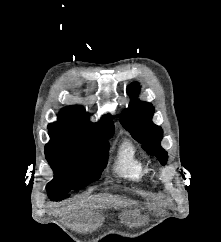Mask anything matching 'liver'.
<instances>
[{
    "label": "liver",
    "mask_w": 221,
    "mask_h": 242,
    "mask_svg": "<svg viewBox=\"0 0 221 242\" xmlns=\"http://www.w3.org/2000/svg\"><path fill=\"white\" fill-rule=\"evenodd\" d=\"M95 203H98V206L95 205ZM110 205V204H117V205H127L128 202L126 200H121L119 197H113L111 195L104 196V195H94L92 197L87 198L84 201L71 204L68 206L66 210H73V211H89L90 209H94L96 207H99L101 205Z\"/></svg>",
    "instance_id": "obj_1"
}]
</instances>
